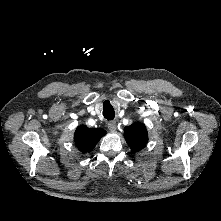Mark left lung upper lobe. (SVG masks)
<instances>
[{"mask_svg": "<svg viewBox=\"0 0 221 221\" xmlns=\"http://www.w3.org/2000/svg\"><path fill=\"white\" fill-rule=\"evenodd\" d=\"M124 130L125 140L132 151L138 152L145 147L148 142V133L143 123L136 122Z\"/></svg>", "mask_w": 221, "mask_h": 221, "instance_id": "left-lung-upper-lobe-1", "label": "left lung upper lobe"}]
</instances>
